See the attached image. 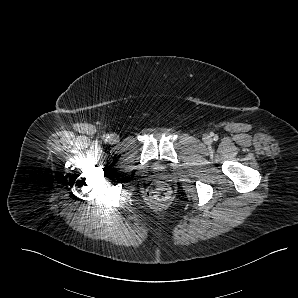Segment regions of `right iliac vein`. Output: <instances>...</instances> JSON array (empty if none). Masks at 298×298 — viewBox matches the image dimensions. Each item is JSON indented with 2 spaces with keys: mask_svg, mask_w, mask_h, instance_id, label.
<instances>
[{
  "mask_svg": "<svg viewBox=\"0 0 298 298\" xmlns=\"http://www.w3.org/2000/svg\"><path fill=\"white\" fill-rule=\"evenodd\" d=\"M118 140H119V138H118V136L115 135V134H111V135L109 136V141H110L111 143H116Z\"/></svg>",
  "mask_w": 298,
  "mask_h": 298,
  "instance_id": "63e3f726",
  "label": "right iliac vein"
}]
</instances>
